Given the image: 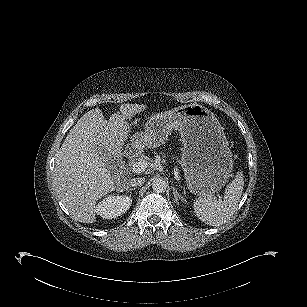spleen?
<instances>
[{
	"label": "spleen",
	"mask_w": 307,
	"mask_h": 307,
	"mask_svg": "<svg viewBox=\"0 0 307 307\" xmlns=\"http://www.w3.org/2000/svg\"><path fill=\"white\" fill-rule=\"evenodd\" d=\"M244 180L241 173L225 189L223 200L217 198L210 192L203 193L194 203L196 216L205 224L220 226L233 216L243 191Z\"/></svg>",
	"instance_id": "spleen-1"
}]
</instances>
